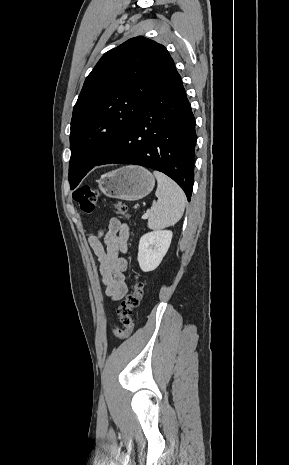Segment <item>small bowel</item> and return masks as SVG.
<instances>
[{
    "instance_id": "obj_1",
    "label": "small bowel",
    "mask_w": 289,
    "mask_h": 465,
    "mask_svg": "<svg viewBox=\"0 0 289 465\" xmlns=\"http://www.w3.org/2000/svg\"><path fill=\"white\" fill-rule=\"evenodd\" d=\"M128 229L116 218H110L107 229L100 230L88 239L99 263L101 283L105 294L112 300H120L128 292L127 262L121 257L126 251Z\"/></svg>"
}]
</instances>
